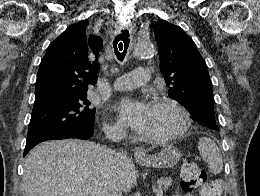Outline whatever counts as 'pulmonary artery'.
<instances>
[{
    "label": "pulmonary artery",
    "mask_w": 260,
    "mask_h": 196,
    "mask_svg": "<svg viewBox=\"0 0 260 196\" xmlns=\"http://www.w3.org/2000/svg\"><path fill=\"white\" fill-rule=\"evenodd\" d=\"M151 72L147 69H132V72H126V76H116L113 84H149ZM116 90H137V85L115 86Z\"/></svg>",
    "instance_id": "pulmonary-artery-1"
}]
</instances>
